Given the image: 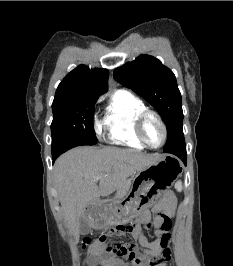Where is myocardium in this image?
I'll return each instance as SVG.
<instances>
[{"label": "myocardium", "instance_id": "myocardium-1", "mask_svg": "<svg viewBox=\"0 0 233 266\" xmlns=\"http://www.w3.org/2000/svg\"><path fill=\"white\" fill-rule=\"evenodd\" d=\"M149 117H154L159 122V124L161 125L162 130H163L162 141L157 146L151 145L147 141V139L145 138V135H144V125H145V122H146L147 118H149ZM135 132H136V136L141 141V143L144 146H146L148 148H151V149H158V148L162 147L165 144V142L167 140V135H168L166 124H165L164 120L162 119V117L160 116V114L157 113L156 111H153V110H150V109L144 110L137 117V120H136V123H135Z\"/></svg>", "mask_w": 233, "mask_h": 266}]
</instances>
